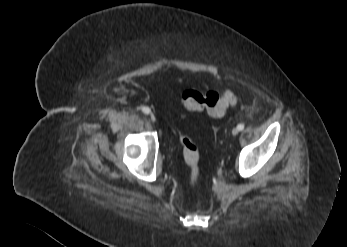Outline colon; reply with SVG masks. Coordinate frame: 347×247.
<instances>
[{"label":"colon","instance_id":"colon-1","mask_svg":"<svg viewBox=\"0 0 347 247\" xmlns=\"http://www.w3.org/2000/svg\"><path fill=\"white\" fill-rule=\"evenodd\" d=\"M235 101L236 98L231 91L223 93L209 91L203 93L195 89H188L182 94V102L187 109L192 111L206 110L209 115L216 118L221 117ZM179 141L184 161L190 170L189 181L190 184L193 185L198 180L200 174L199 148L194 141L183 132L179 134Z\"/></svg>","mask_w":347,"mask_h":247}]
</instances>
